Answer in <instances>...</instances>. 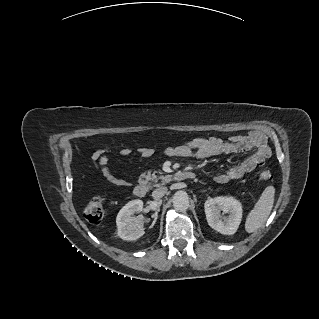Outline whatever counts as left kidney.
Segmentation results:
<instances>
[{"instance_id":"left-kidney-1","label":"left kidney","mask_w":319,"mask_h":319,"mask_svg":"<svg viewBox=\"0 0 319 319\" xmlns=\"http://www.w3.org/2000/svg\"><path fill=\"white\" fill-rule=\"evenodd\" d=\"M207 222L211 228L224 235H233L242 219V204L232 196L210 198L204 203ZM228 213V217H222Z\"/></svg>"}]
</instances>
